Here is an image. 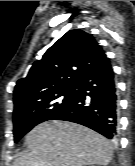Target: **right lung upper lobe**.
I'll use <instances>...</instances> for the list:
<instances>
[{
	"label": "right lung upper lobe",
	"instance_id": "right-lung-upper-lobe-1",
	"mask_svg": "<svg viewBox=\"0 0 135 166\" xmlns=\"http://www.w3.org/2000/svg\"><path fill=\"white\" fill-rule=\"evenodd\" d=\"M108 58L91 34L70 30L36 61L14 89V109L75 87Z\"/></svg>",
	"mask_w": 135,
	"mask_h": 166
}]
</instances>
